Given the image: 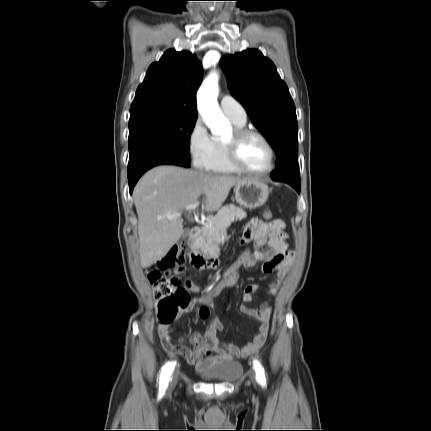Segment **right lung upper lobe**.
Segmentation results:
<instances>
[{
  "label": "right lung upper lobe",
  "mask_w": 431,
  "mask_h": 431,
  "mask_svg": "<svg viewBox=\"0 0 431 431\" xmlns=\"http://www.w3.org/2000/svg\"><path fill=\"white\" fill-rule=\"evenodd\" d=\"M202 80V67L188 51L170 49L153 63L136 91L130 118L145 114L196 117V91Z\"/></svg>",
  "instance_id": "cb5924a9"
}]
</instances>
